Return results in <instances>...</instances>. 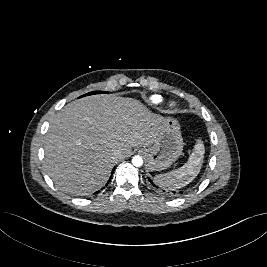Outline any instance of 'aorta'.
<instances>
[{
	"label": "aorta",
	"instance_id": "aorta-1",
	"mask_svg": "<svg viewBox=\"0 0 267 267\" xmlns=\"http://www.w3.org/2000/svg\"><path fill=\"white\" fill-rule=\"evenodd\" d=\"M132 164L136 167H140L143 164V159L140 156H134L132 158Z\"/></svg>",
	"mask_w": 267,
	"mask_h": 267
}]
</instances>
